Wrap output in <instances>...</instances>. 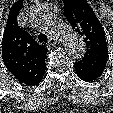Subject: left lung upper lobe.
I'll list each match as a JSON object with an SVG mask.
<instances>
[{
  "label": "left lung upper lobe",
  "instance_id": "1",
  "mask_svg": "<svg viewBox=\"0 0 113 113\" xmlns=\"http://www.w3.org/2000/svg\"><path fill=\"white\" fill-rule=\"evenodd\" d=\"M64 13L87 46V52L79 62L104 70L108 59L105 32L92 8L86 0H64Z\"/></svg>",
  "mask_w": 113,
  "mask_h": 113
}]
</instances>
